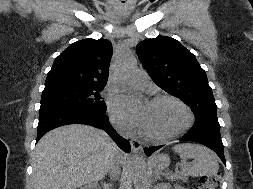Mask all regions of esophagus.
<instances>
[{
    "instance_id": "1",
    "label": "esophagus",
    "mask_w": 253,
    "mask_h": 189,
    "mask_svg": "<svg viewBox=\"0 0 253 189\" xmlns=\"http://www.w3.org/2000/svg\"><path fill=\"white\" fill-rule=\"evenodd\" d=\"M131 147L134 153H137L139 150L142 149L141 142L136 138L131 139Z\"/></svg>"
}]
</instances>
